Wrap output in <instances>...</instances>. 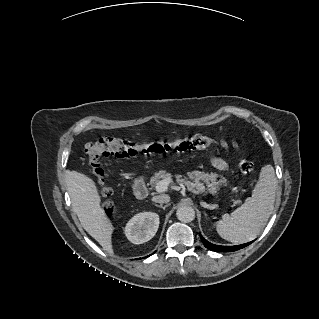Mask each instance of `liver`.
<instances>
[{"label": "liver", "instance_id": "liver-1", "mask_svg": "<svg viewBox=\"0 0 319 319\" xmlns=\"http://www.w3.org/2000/svg\"><path fill=\"white\" fill-rule=\"evenodd\" d=\"M67 186L82 227L105 251L113 253L111 237L114 227L101 207V197L95 182L85 174L71 171L67 175Z\"/></svg>", "mask_w": 319, "mask_h": 319}]
</instances>
